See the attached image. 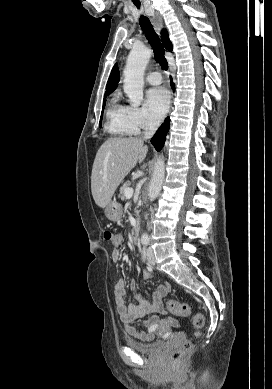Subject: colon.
I'll return each instance as SVG.
<instances>
[{
  "mask_svg": "<svg viewBox=\"0 0 272 389\" xmlns=\"http://www.w3.org/2000/svg\"><path fill=\"white\" fill-rule=\"evenodd\" d=\"M104 238L109 241L113 246L118 247L121 244L122 238L121 235L112 232L105 231ZM167 311L171 314L178 316H187L190 313V307L187 304L180 303L176 300H169L166 304ZM192 324L198 330L196 335L199 334V330L204 325V315L200 312H196L192 315ZM193 348V343L190 340H187L182 343L176 350H174L169 355V361L173 366H180L190 355Z\"/></svg>",
  "mask_w": 272,
  "mask_h": 389,
  "instance_id": "obj_1",
  "label": "colon"
}]
</instances>
